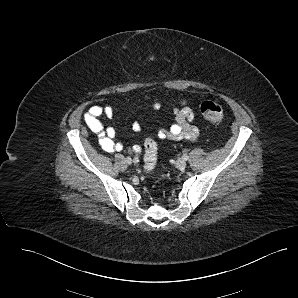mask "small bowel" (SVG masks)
Here are the masks:
<instances>
[{"instance_id":"small-bowel-1","label":"small bowel","mask_w":298,"mask_h":298,"mask_svg":"<svg viewBox=\"0 0 298 298\" xmlns=\"http://www.w3.org/2000/svg\"><path fill=\"white\" fill-rule=\"evenodd\" d=\"M154 109H160L159 102L150 105ZM174 113V122L168 128L160 127L157 130V137L161 140H190L193 141L199 136V129L195 123L193 111L185 104L180 106L172 105ZM114 109L111 106L93 105L84 115L86 126L99 137L101 148L107 153L120 152L123 150V144L115 141L116 131L112 127L105 128L100 121L101 116L112 118ZM134 132H140L141 125L138 121L132 124ZM139 145H134L132 151L140 152Z\"/></svg>"}]
</instances>
